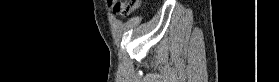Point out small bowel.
<instances>
[{
	"instance_id": "small-bowel-1",
	"label": "small bowel",
	"mask_w": 279,
	"mask_h": 82,
	"mask_svg": "<svg viewBox=\"0 0 279 82\" xmlns=\"http://www.w3.org/2000/svg\"><path fill=\"white\" fill-rule=\"evenodd\" d=\"M110 8L113 10V12L119 16H127L133 11H135L138 6H127L124 4H113L110 1L108 2Z\"/></svg>"
}]
</instances>
